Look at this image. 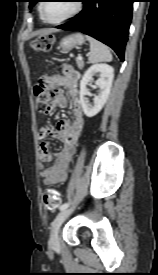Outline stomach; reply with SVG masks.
<instances>
[{"instance_id":"0dacf381","label":"stomach","mask_w":158,"mask_h":275,"mask_svg":"<svg viewBox=\"0 0 158 275\" xmlns=\"http://www.w3.org/2000/svg\"><path fill=\"white\" fill-rule=\"evenodd\" d=\"M85 41L84 36L80 33H75L64 37L60 42V47L63 52H68L77 45L83 44Z\"/></svg>"}]
</instances>
